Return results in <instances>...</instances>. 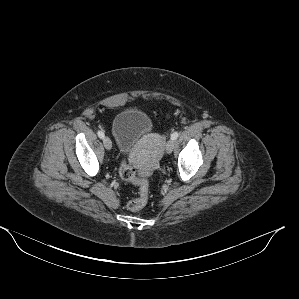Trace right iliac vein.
Wrapping results in <instances>:
<instances>
[{"mask_svg":"<svg viewBox=\"0 0 299 299\" xmlns=\"http://www.w3.org/2000/svg\"><path fill=\"white\" fill-rule=\"evenodd\" d=\"M103 144H104V146H105V148L107 150H111L112 149V142H111V140H110L109 137H104L103 138Z\"/></svg>","mask_w":299,"mask_h":299,"instance_id":"obj_1","label":"right iliac vein"}]
</instances>
